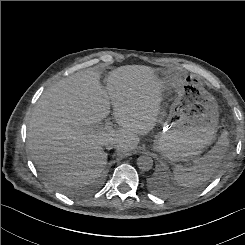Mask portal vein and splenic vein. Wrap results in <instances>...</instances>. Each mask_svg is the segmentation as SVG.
<instances>
[{
    "instance_id": "18ae733b",
    "label": "portal vein and splenic vein",
    "mask_w": 245,
    "mask_h": 245,
    "mask_svg": "<svg viewBox=\"0 0 245 245\" xmlns=\"http://www.w3.org/2000/svg\"><path fill=\"white\" fill-rule=\"evenodd\" d=\"M113 126V123L110 121H107L103 129H111ZM99 129V128H98Z\"/></svg>"
}]
</instances>
